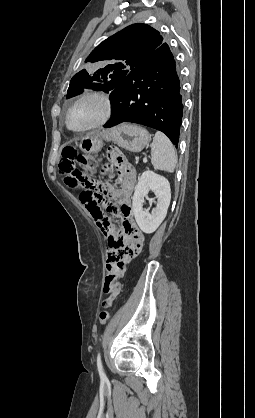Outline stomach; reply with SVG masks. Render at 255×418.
I'll return each mask as SVG.
<instances>
[{"label": "stomach", "mask_w": 255, "mask_h": 418, "mask_svg": "<svg viewBox=\"0 0 255 418\" xmlns=\"http://www.w3.org/2000/svg\"><path fill=\"white\" fill-rule=\"evenodd\" d=\"M103 139L113 141L118 146L131 152H139L146 147L150 140L149 132L135 124H122L113 129L90 134L80 142V148L85 153L100 151Z\"/></svg>", "instance_id": "0dacf381"}]
</instances>
